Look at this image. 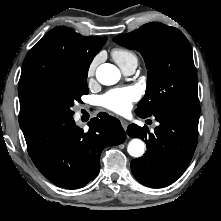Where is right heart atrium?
<instances>
[{
    "instance_id": "1",
    "label": "right heart atrium",
    "mask_w": 221,
    "mask_h": 221,
    "mask_svg": "<svg viewBox=\"0 0 221 221\" xmlns=\"http://www.w3.org/2000/svg\"><path fill=\"white\" fill-rule=\"evenodd\" d=\"M98 58H94L92 62L89 64L87 69V76L88 78H92L94 76L96 66H97Z\"/></svg>"
}]
</instances>
